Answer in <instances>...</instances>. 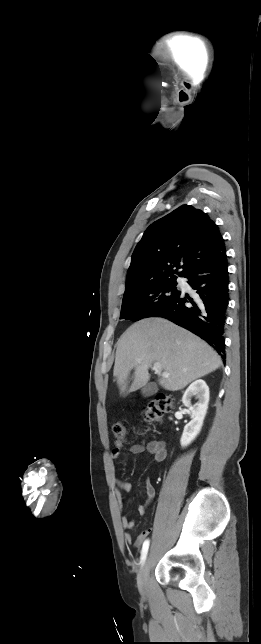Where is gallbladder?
<instances>
[{"label":"gallbladder","mask_w":261,"mask_h":644,"mask_svg":"<svg viewBox=\"0 0 261 644\" xmlns=\"http://www.w3.org/2000/svg\"><path fill=\"white\" fill-rule=\"evenodd\" d=\"M157 386L154 383H148L146 386L142 388V395L144 397H149L154 395L157 392Z\"/></svg>","instance_id":"gallbladder-1"}]
</instances>
